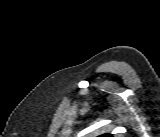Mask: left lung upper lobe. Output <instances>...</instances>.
Here are the masks:
<instances>
[{"instance_id":"5c2ea615","label":"left lung upper lobe","mask_w":160,"mask_h":137,"mask_svg":"<svg viewBox=\"0 0 160 137\" xmlns=\"http://www.w3.org/2000/svg\"><path fill=\"white\" fill-rule=\"evenodd\" d=\"M98 137H112L111 134H104V135H101V136H98Z\"/></svg>"}]
</instances>
